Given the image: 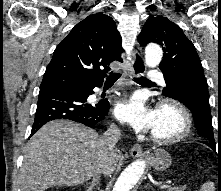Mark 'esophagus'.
<instances>
[{"instance_id":"esophagus-1","label":"esophagus","mask_w":221,"mask_h":191,"mask_svg":"<svg viewBox=\"0 0 221 191\" xmlns=\"http://www.w3.org/2000/svg\"><path fill=\"white\" fill-rule=\"evenodd\" d=\"M132 63L131 68L129 70V74L131 77H139L145 73V62L141 51L134 50L132 52ZM132 157H139L143 154V148L140 144H135L131 149Z\"/></svg>"}]
</instances>
